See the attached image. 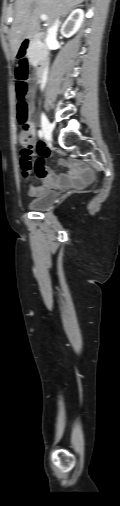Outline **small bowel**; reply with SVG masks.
Here are the masks:
<instances>
[{"instance_id":"obj_1","label":"small bowel","mask_w":120,"mask_h":506,"mask_svg":"<svg viewBox=\"0 0 120 506\" xmlns=\"http://www.w3.org/2000/svg\"><path fill=\"white\" fill-rule=\"evenodd\" d=\"M31 131L36 137V131L32 125ZM38 157H32L27 161L21 160L22 177L25 181L34 174L42 180V185H30L28 193L30 196H40L46 190L52 187H81L92 179V172L85 167L81 162L67 163L62 162L61 165L65 167L69 175L56 176L52 174L46 166L45 159L49 156V150L45 143L39 142L37 145Z\"/></svg>"}]
</instances>
